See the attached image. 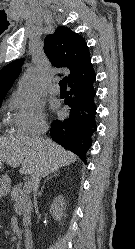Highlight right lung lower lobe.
Listing matches in <instances>:
<instances>
[{"label":"right lung lower lobe","mask_w":135,"mask_h":249,"mask_svg":"<svg viewBox=\"0 0 135 249\" xmlns=\"http://www.w3.org/2000/svg\"><path fill=\"white\" fill-rule=\"evenodd\" d=\"M95 79L94 73L69 85L70 91L65 104L69 106L70 116L62 121L54 120L50 130L54 141L75 153L83 162H86V153L92 145V135L97 128Z\"/></svg>","instance_id":"obj_1"}]
</instances>
